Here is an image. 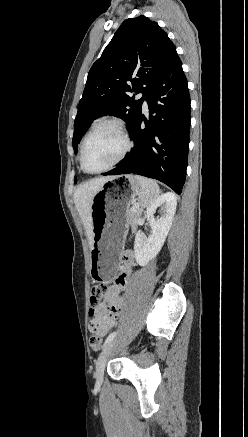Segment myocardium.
Listing matches in <instances>:
<instances>
[{
  "label": "myocardium",
  "mask_w": 248,
  "mask_h": 437,
  "mask_svg": "<svg viewBox=\"0 0 248 437\" xmlns=\"http://www.w3.org/2000/svg\"><path fill=\"white\" fill-rule=\"evenodd\" d=\"M107 126L115 128L121 134V136L124 140V143H125L124 149L122 150V152L120 153L118 158L115 161H113L110 165H108L107 167H105L101 170H98V171H89L85 166V160H84L86 145H87L89 139L97 131H99L101 128L107 127ZM132 147H133V142L130 138L128 130L121 121L116 120V119L103 120V121L99 122L98 124H96L92 128V130L86 135L84 140L82 141L81 149H80V166H81L82 170L87 174H100V173L106 172V171L114 168L116 165H118L129 154Z\"/></svg>",
  "instance_id": "f54148a6"
}]
</instances>
